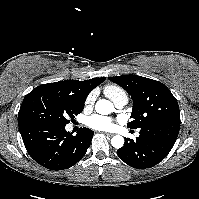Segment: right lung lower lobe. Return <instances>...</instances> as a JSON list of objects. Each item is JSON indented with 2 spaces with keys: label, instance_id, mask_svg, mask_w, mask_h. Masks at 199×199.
Segmentation results:
<instances>
[{
  "label": "right lung lower lobe",
  "instance_id": "obj_1",
  "mask_svg": "<svg viewBox=\"0 0 199 199\" xmlns=\"http://www.w3.org/2000/svg\"><path fill=\"white\" fill-rule=\"evenodd\" d=\"M20 133L29 155L50 170H63L76 164L85 155L94 132L80 128L76 135L63 125H24Z\"/></svg>",
  "mask_w": 199,
  "mask_h": 199
}]
</instances>
